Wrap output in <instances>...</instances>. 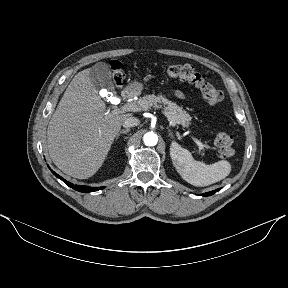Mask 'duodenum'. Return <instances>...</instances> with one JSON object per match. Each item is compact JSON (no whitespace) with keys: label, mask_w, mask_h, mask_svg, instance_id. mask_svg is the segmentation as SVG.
<instances>
[{"label":"duodenum","mask_w":288,"mask_h":288,"mask_svg":"<svg viewBox=\"0 0 288 288\" xmlns=\"http://www.w3.org/2000/svg\"><path fill=\"white\" fill-rule=\"evenodd\" d=\"M133 96V92L132 90L130 89H125L123 92H122V98L127 100L129 98H131Z\"/></svg>","instance_id":"obj_1"}]
</instances>
